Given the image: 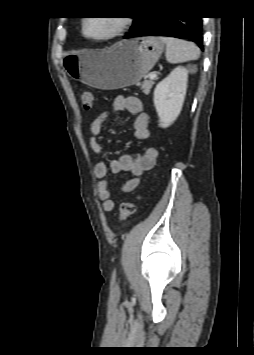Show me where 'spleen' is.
<instances>
[{
  "label": "spleen",
  "instance_id": "1",
  "mask_svg": "<svg viewBox=\"0 0 254 355\" xmlns=\"http://www.w3.org/2000/svg\"><path fill=\"white\" fill-rule=\"evenodd\" d=\"M166 44V60L169 63H183L197 60L200 56V49L192 42L172 37H160Z\"/></svg>",
  "mask_w": 254,
  "mask_h": 355
}]
</instances>
